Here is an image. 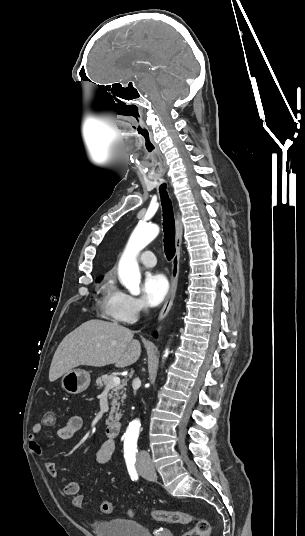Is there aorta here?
<instances>
[{"mask_svg":"<svg viewBox=\"0 0 305 536\" xmlns=\"http://www.w3.org/2000/svg\"><path fill=\"white\" fill-rule=\"evenodd\" d=\"M159 234V227L156 224H139L131 234L126 248L120 258L118 265V276L120 282L132 295L140 294L141 274L137 262V256L150 242ZM169 354V350L164 352V358ZM132 427L139 428V420L131 423Z\"/></svg>","mask_w":305,"mask_h":536,"instance_id":"obj_1","label":"aorta"}]
</instances>
